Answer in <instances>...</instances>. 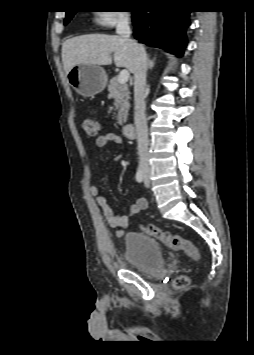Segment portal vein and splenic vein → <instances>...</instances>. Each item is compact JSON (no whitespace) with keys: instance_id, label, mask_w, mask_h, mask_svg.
I'll use <instances>...</instances> for the list:
<instances>
[{"instance_id":"18ae733b","label":"portal vein and splenic vein","mask_w":254,"mask_h":355,"mask_svg":"<svg viewBox=\"0 0 254 355\" xmlns=\"http://www.w3.org/2000/svg\"><path fill=\"white\" fill-rule=\"evenodd\" d=\"M130 73L127 69H123L118 75V81L120 84H126L128 82Z\"/></svg>"}]
</instances>
